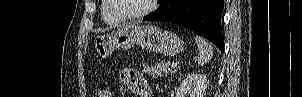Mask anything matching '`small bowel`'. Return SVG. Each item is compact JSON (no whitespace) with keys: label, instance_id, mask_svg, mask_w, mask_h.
Masks as SVG:
<instances>
[{"label":"small bowel","instance_id":"1","mask_svg":"<svg viewBox=\"0 0 302 97\" xmlns=\"http://www.w3.org/2000/svg\"><path fill=\"white\" fill-rule=\"evenodd\" d=\"M119 82L138 97H151L147 81L134 68H124L120 73Z\"/></svg>","mask_w":302,"mask_h":97}]
</instances>
